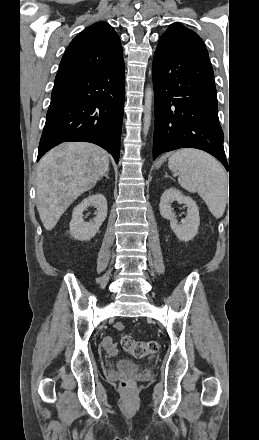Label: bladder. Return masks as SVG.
I'll list each match as a JSON object with an SVG mask.
<instances>
[{
  "label": "bladder",
  "mask_w": 259,
  "mask_h": 440,
  "mask_svg": "<svg viewBox=\"0 0 259 440\" xmlns=\"http://www.w3.org/2000/svg\"><path fill=\"white\" fill-rule=\"evenodd\" d=\"M118 368L124 371H136L139 369V365L132 361L123 360L118 363Z\"/></svg>",
  "instance_id": "obj_1"
}]
</instances>
